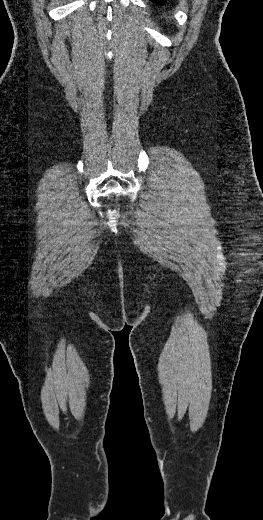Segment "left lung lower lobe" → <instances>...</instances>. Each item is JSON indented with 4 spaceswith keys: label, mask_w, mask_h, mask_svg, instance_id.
I'll use <instances>...</instances> for the list:
<instances>
[{
    "label": "left lung lower lobe",
    "mask_w": 263,
    "mask_h": 520,
    "mask_svg": "<svg viewBox=\"0 0 263 520\" xmlns=\"http://www.w3.org/2000/svg\"><path fill=\"white\" fill-rule=\"evenodd\" d=\"M151 1H153V2H155V3H157V4L162 5V4L165 3L166 0H151Z\"/></svg>",
    "instance_id": "left-lung-lower-lobe-1"
}]
</instances>
